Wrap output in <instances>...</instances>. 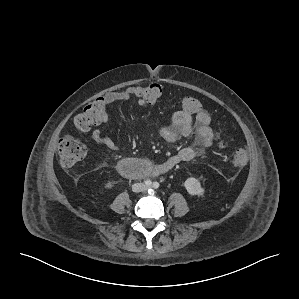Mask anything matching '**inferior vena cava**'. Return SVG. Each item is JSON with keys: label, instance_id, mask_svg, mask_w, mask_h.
<instances>
[{"label": "inferior vena cava", "instance_id": "inferior-vena-cava-1", "mask_svg": "<svg viewBox=\"0 0 299 299\" xmlns=\"http://www.w3.org/2000/svg\"><path fill=\"white\" fill-rule=\"evenodd\" d=\"M145 190V186L141 183H137L133 185V191L134 192H141Z\"/></svg>", "mask_w": 299, "mask_h": 299}]
</instances>
